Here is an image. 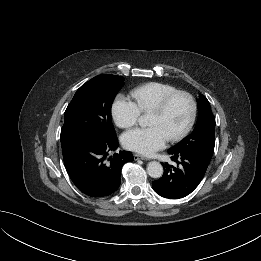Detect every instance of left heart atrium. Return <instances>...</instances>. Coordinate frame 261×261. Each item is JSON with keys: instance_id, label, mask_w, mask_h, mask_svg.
Masks as SVG:
<instances>
[{"instance_id": "39dd6f15", "label": "left heart atrium", "mask_w": 261, "mask_h": 261, "mask_svg": "<svg viewBox=\"0 0 261 261\" xmlns=\"http://www.w3.org/2000/svg\"><path fill=\"white\" fill-rule=\"evenodd\" d=\"M168 139V135L160 126L153 125L126 132L122 137V143L125 148L131 151L143 155H152L162 149Z\"/></svg>"}]
</instances>
